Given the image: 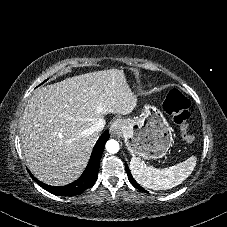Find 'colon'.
Returning <instances> with one entry per match:
<instances>
[{"label":"colon","mask_w":227,"mask_h":227,"mask_svg":"<svg viewBox=\"0 0 227 227\" xmlns=\"http://www.w3.org/2000/svg\"><path fill=\"white\" fill-rule=\"evenodd\" d=\"M165 108L172 115L173 121L179 127L180 137L185 142H191L193 135L188 128L189 101L178 90H171L165 99Z\"/></svg>","instance_id":"obj_1"}]
</instances>
